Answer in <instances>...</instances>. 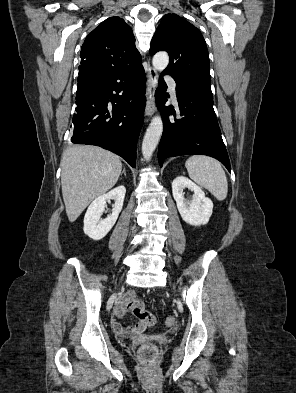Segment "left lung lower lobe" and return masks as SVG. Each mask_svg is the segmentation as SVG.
<instances>
[{"label": "left lung lower lobe", "mask_w": 296, "mask_h": 393, "mask_svg": "<svg viewBox=\"0 0 296 393\" xmlns=\"http://www.w3.org/2000/svg\"><path fill=\"white\" fill-rule=\"evenodd\" d=\"M155 93L158 108H161L164 129L158 148V161L162 167L168 157L202 154L216 158L230 172V161L221 137V131L213 109L211 89L186 87L176 88L181 119L170 120L175 110L166 107L163 95L166 84L159 79Z\"/></svg>", "instance_id": "left-lung-lower-lobe-1"}]
</instances>
